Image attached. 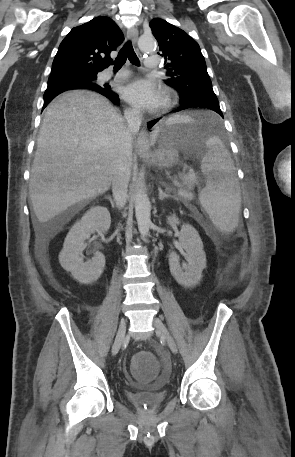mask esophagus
<instances>
[{
    "mask_svg": "<svg viewBox=\"0 0 295 457\" xmlns=\"http://www.w3.org/2000/svg\"><path fill=\"white\" fill-rule=\"evenodd\" d=\"M127 38L133 43L137 42L138 39V30L136 27H131L127 30ZM136 147L140 152H147L149 150L148 145V133L146 130H141L138 135Z\"/></svg>",
    "mask_w": 295,
    "mask_h": 457,
    "instance_id": "34e87169",
    "label": "esophagus"
}]
</instances>
